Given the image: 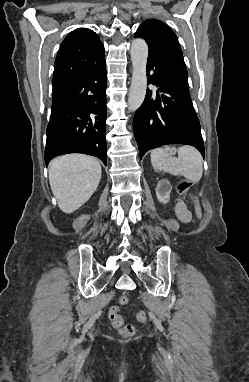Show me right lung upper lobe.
Segmentation results:
<instances>
[{"mask_svg":"<svg viewBox=\"0 0 249 382\" xmlns=\"http://www.w3.org/2000/svg\"><path fill=\"white\" fill-rule=\"evenodd\" d=\"M104 46L87 28L72 31L62 42L54 65L53 96L88 72L103 56Z\"/></svg>","mask_w":249,"mask_h":382,"instance_id":"1","label":"right lung upper lobe"}]
</instances>
